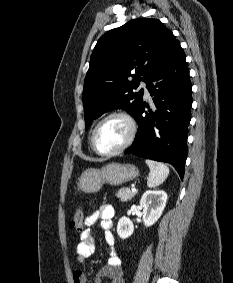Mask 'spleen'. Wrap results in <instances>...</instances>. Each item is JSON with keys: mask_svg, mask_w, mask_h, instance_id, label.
<instances>
[{"mask_svg": "<svg viewBox=\"0 0 233 283\" xmlns=\"http://www.w3.org/2000/svg\"><path fill=\"white\" fill-rule=\"evenodd\" d=\"M146 164L148 165L150 172L147 180V186L149 188H154L162 184L169 174V168L163 163L156 162L153 160L146 159Z\"/></svg>", "mask_w": 233, "mask_h": 283, "instance_id": "spleen-1", "label": "spleen"}]
</instances>
